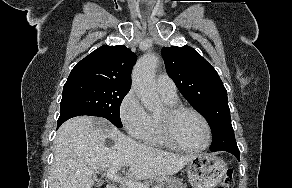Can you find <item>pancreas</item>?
<instances>
[{
    "mask_svg": "<svg viewBox=\"0 0 292 188\" xmlns=\"http://www.w3.org/2000/svg\"><path fill=\"white\" fill-rule=\"evenodd\" d=\"M156 184L160 188H186V184L182 180L171 176L159 177Z\"/></svg>",
    "mask_w": 292,
    "mask_h": 188,
    "instance_id": "1",
    "label": "pancreas"
}]
</instances>
